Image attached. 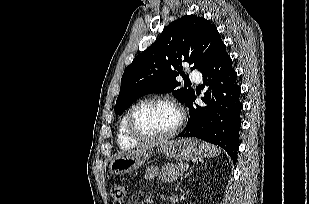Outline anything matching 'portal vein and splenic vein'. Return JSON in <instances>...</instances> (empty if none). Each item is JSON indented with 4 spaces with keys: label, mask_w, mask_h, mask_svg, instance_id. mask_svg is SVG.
I'll use <instances>...</instances> for the list:
<instances>
[{
    "label": "portal vein and splenic vein",
    "mask_w": 309,
    "mask_h": 204,
    "mask_svg": "<svg viewBox=\"0 0 309 204\" xmlns=\"http://www.w3.org/2000/svg\"><path fill=\"white\" fill-rule=\"evenodd\" d=\"M185 168H186V169H188V168H189V166H188V165H186V166H185Z\"/></svg>",
    "instance_id": "obj_1"
}]
</instances>
